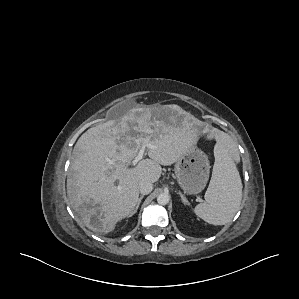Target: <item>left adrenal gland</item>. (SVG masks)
Masks as SVG:
<instances>
[{
	"mask_svg": "<svg viewBox=\"0 0 299 299\" xmlns=\"http://www.w3.org/2000/svg\"><path fill=\"white\" fill-rule=\"evenodd\" d=\"M178 194L180 195L181 200H182L185 204L189 205L188 200L186 199V197H185L180 191H178Z\"/></svg>",
	"mask_w": 299,
	"mask_h": 299,
	"instance_id": "left-adrenal-gland-1",
	"label": "left adrenal gland"
}]
</instances>
